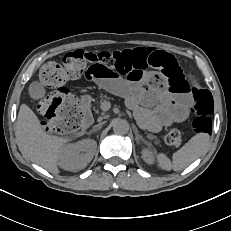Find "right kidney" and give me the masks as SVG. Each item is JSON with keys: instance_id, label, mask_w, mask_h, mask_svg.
<instances>
[{"instance_id": "right-kidney-1", "label": "right kidney", "mask_w": 231, "mask_h": 231, "mask_svg": "<svg viewBox=\"0 0 231 231\" xmlns=\"http://www.w3.org/2000/svg\"><path fill=\"white\" fill-rule=\"evenodd\" d=\"M97 143L94 140L84 139L62 148L58 165L68 171L81 170L93 159Z\"/></svg>"}]
</instances>
